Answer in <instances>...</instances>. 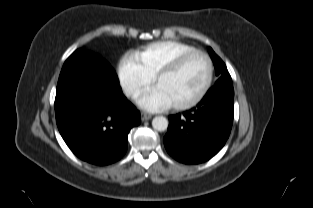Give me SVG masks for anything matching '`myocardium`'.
I'll list each match as a JSON object with an SVG mask.
<instances>
[{
  "label": "myocardium",
  "instance_id": "1",
  "mask_svg": "<svg viewBox=\"0 0 313 208\" xmlns=\"http://www.w3.org/2000/svg\"><path fill=\"white\" fill-rule=\"evenodd\" d=\"M196 55H200V56L204 57L206 62H207L208 73H207V78H206L205 84L202 87L199 94L195 98H193L192 100L185 102V103L172 105V107L176 110H187V109L193 108L194 106L198 105L205 98V96L207 95V93L209 92V90L211 88V85L213 82V77H214V66H213L212 59L204 51H201L198 49L192 50V51L183 53L180 56H178L177 58H175L167 66L160 69L155 75L154 82L157 84L163 77L178 71L184 65V63L187 60H189L190 58H192Z\"/></svg>",
  "mask_w": 313,
  "mask_h": 208
}]
</instances>
